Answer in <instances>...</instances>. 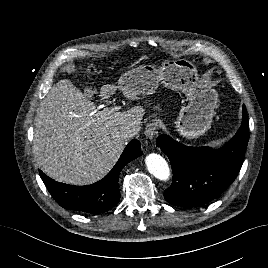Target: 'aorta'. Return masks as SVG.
<instances>
[{"instance_id":"obj_1","label":"aorta","mask_w":268,"mask_h":268,"mask_svg":"<svg viewBox=\"0 0 268 268\" xmlns=\"http://www.w3.org/2000/svg\"><path fill=\"white\" fill-rule=\"evenodd\" d=\"M145 163L148 171L159 180L166 181L170 177V169L166 160L159 154L151 153L146 156Z\"/></svg>"}]
</instances>
